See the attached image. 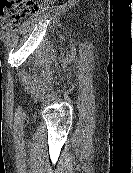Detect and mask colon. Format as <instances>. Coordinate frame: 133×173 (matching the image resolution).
<instances>
[{"label":"colon","mask_w":133,"mask_h":173,"mask_svg":"<svg viewBox=\"0 0 133 173\" xmlns=\"http://www.w3.org/2000/svg\"><path fill=\"white\" fill-rule=\"evenodd\" d=\"M55 0H0V30L13 28L27 15L33 14Z\"/></svg>","instance_id":"colon-1"}]
</instances>
